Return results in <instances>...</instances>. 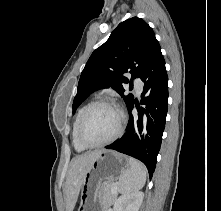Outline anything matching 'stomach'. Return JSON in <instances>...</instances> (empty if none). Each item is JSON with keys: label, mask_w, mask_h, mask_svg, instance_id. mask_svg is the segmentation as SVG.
Returning <instances> with one entry per match:
<instances>
[{"label": "stomach", "mask_w": 221, "mask_h": 211, "mask_svg": "<svg viewBox=\"0 0 221 211\" xmlns=\"http://www.w3.org/2000/svg\"><path fill=\"white\" fill-rule=\"evenodd\" d=\"M130 164L128 158L115 151H103L86 171L81 185L78 211H100L104 185L120 178Z\"/></svg>", "instance_id": "obj_1"}]
</instances>
